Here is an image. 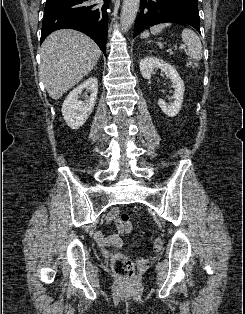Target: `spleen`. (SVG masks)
I'll return each instance as SVG.
<instances>
[{"label": "spleen", "instance_id": "1", "mask_svg": "<svg viewBox=\"0 0 245 314\" xmlns=\"http://www.w3.org/2000/svg\"><path fill=\"white\" fill-rule=\"evenodd\" d=\"M170 25H171L170 23H160V24L154 25L150 27V32L148 30H145L141 34V38L149 37L150 33L153 35L158 34L162 32L164 28ZM181 36H182V41L187 46L186 54L191 59L200 60L203 54L200 38L191 29H184Z\"/></svg>", "mask_w": 245, "mask_h": 314}]
</instances>
